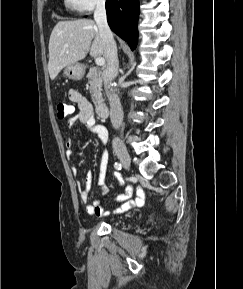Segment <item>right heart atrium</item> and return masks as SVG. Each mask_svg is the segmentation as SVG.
<instances>
[{
  "label": "right heart atrium",
  "instance_id": "right-heart-atrium-1",
  "mask_svg": "<svg viewBox=\"0 0 243 289\" xmlns=\"http://www.w3.org/2000/svg\"><path fill=\"white\" fill-rule=\"evenodd\" d=\"M66 5L77 12H90L103 7L107 0H65Z\"/></svg>",
  "mask_w": 243,
  "mask_h": 289
}]
</instances>
